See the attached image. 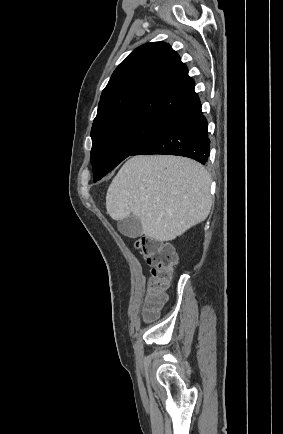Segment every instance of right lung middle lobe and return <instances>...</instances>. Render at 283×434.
<instances>
[{"label":"right lung middle lobe","mask_w":283,"mask_h":434,"mask_svg":"<svg viewBox=\"0 0 283 434\" xmlns=\"http://www.w3.org/2000/svg\"><path fill=\"white\" fill-rule=\"evenodd\" d=\"M169 121L170 119L158 115L138 112L115 116L92 126L91 163L94 182L130 156Z\"/></svg>","instance_id":"dd1d6c3e"}]
</instances>
